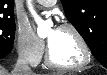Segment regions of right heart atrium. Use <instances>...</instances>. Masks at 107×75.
I'll use <instances>...</instances> for the list:
<instances>
[{
  "mask_svg": "<svg viewBox=\"0 0 107 75\" xmlns=\"http://www.w3.org/2000/svg\"><path fill=\"white\" fill-rule=\"evenodd\" d=\"M15 45L18 55L29 64L35 65L43 57L44 45L27 25H19Z\"/></svg>",
  "mask_w": 107,
  "mask_h": 75,
  "instance_id": "d8ad5b80",
  "label": "right heart atrium"
}]
</instances>
